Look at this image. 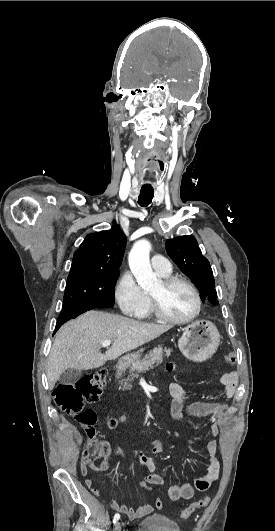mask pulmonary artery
Listing matches in <instances>:
<instances>
[{
	"label": "pulmonary artery",
	"instance_id": "1",
	"mask_svg": "<svg viewBox=\"0 0 275 531\" xmlns=\"http://www.w3.org/2000/svg\"><path fill=\"white\" fill-rule=\"evenodd\" d=\"M151 262L158 274L165 275L171 272L170 264L168 261H165L163 254H153L151 257Z\"/></svg>",
	"mask_w": 275,
	"mask_h": 531
}]
</instances>
